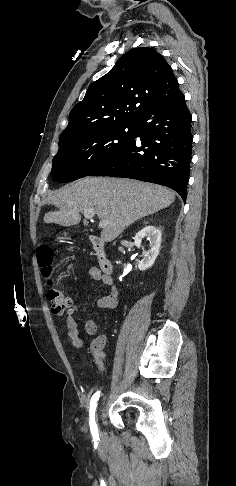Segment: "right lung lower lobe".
<instances>
[{
	"mask_svg": "<svg viewBox=\"0 0 236 486\" xmlns=\"http://www.w3.org/2000/svg\"><path fill=\"white\" fill-rule=\"evenodd\" d=\"M184 98L142 113L135 122L134 140L88 176L127 177L164 185L186 201L193 135Z\"/></svg>",
	"mask_w": 236,
	"mask_h": 486,
	"instance_id": "1",
	"label": "right lung lower lobe"
}]
</instances>
